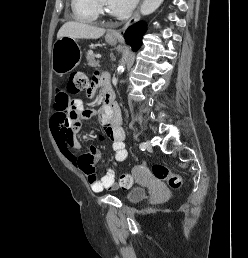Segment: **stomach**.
<instances>
[{
    "mask_svg": "<svg viewBox=\"0 0 248 258\" xmlns=\"http://www.w3.org/2000/svg\"><path fill=\"white\" fill-rule=\"evenodd\" d=\"M119 38L106 35V41L115 45ZM82 51L77 40L70 37L57 39L52 48V69L59 75L71 72L81 61Z\"/></svg>",
    "mask_w": 248,
    "mask_h": 258,
    "instance_id": "0dacf381",
    "label": "stomach"
}]
</instances>
